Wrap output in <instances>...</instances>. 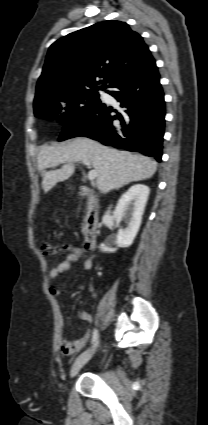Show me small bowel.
<instances>
[{"mask_svg": "<svg viewBox=\"0 0 208 425\" xmlns=\"http://www.w3.org/2000/svg\"><path fill=\"white\" fill-rule=\"evenodd\" d=\"M63 249L67 250L68 253L65 255L64 259L60 263H58L50 270L51 278H58L63 272L69 270L71 265L74 263H81L82 268L86 271L92 269L93 261L91 257L84 256L83 252L80 249L74 248L70 245H64ZM49 291L55 297H61L64 295V291L56 287H51ZM78 317L82 321L92 322V316L84 310L78 311ZM89 338L90 332L86 331L81 337L76 340L69 341L66 339H62L59 343L60 350L65 355L74 354L86 345Z\"/></svg>", "mask_w": 208, "mask_h": 425, "instance_id": "obj_1", "label": "small bowel"}]
</instances>
